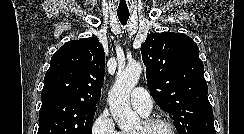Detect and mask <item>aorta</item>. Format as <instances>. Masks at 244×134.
Returning <instances> with one entry per match:
<instances>
[{"instance_id": "obj_1", "label": "aorta", "mask_w": 244, "mask_h": 134, "mask_svg": "<svg viewBox=\"0 0 244 134\" xmlns=\"http://www.w3.org/2000/svg\"><path fill=\"white\" fill-rule=\"evenodd\" d=\"M142 65L129 63L123 70H118L115 84L110 89L108 101L110 111L121 129L131 128L139 121V116L130 107V93L139 81Z\"/></svg>"}]
</instances>
